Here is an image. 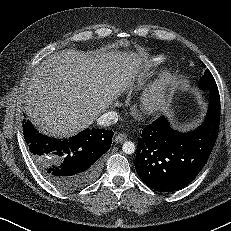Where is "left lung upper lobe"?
<instances>
[{"instance_id":"left-lung-upper-lobe-1","label":"left lung upper lobe","mask_w":231,"mask_h":231,"mask_svg":"<svg viewBox=\"0 0 231 231\" xmlns=\"http://www.w3.org/2000/svg\"><path fill=\"white\" fill-rule=\"evenodd\" d=\"M199 87L205 90H209V91H217V85L216 82L211 74V72L206 69L204 72V75L202 76V78L199 81Z\"/></svg>"}]
</instances>
